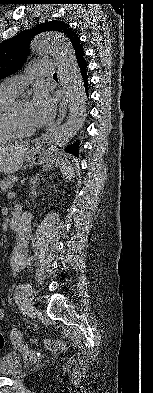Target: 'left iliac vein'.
I'll use <instances>...</instances> for the list:
<instances>
[{
	"mask_svg": "<svg viewBox=\"0 0 153 393\" xmlns=\"http://www.w3.org/2000/svg\"><path fill=\"white\" fill-rule=\"evenodd\" d=\"M31 292H32V290L29 288L27 290V292H26V298H25V300L23 302L24 308L26 310H28V311H33L34 310V305H33L32 299L29 298V295L31 294Z\"/></svg>",
	"mask_w": 153,
	"mask_h": 393,
	"instance_id": "4c4485c4",
	"label": "left iliac vein"
}]
</instances>
